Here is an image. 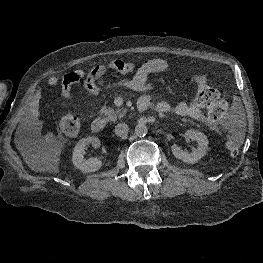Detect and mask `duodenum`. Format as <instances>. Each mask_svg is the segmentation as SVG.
<instances>
[{"mask_svg":"<svg viewBox=\"0 0 263 263\" xmlns=\"http://www.w3.org/2000/svg\"><path fill=\"white\" fill-rule=\"evenodd\" d=\"M148 108V106L145 103H138V111L143 112ZM105 128V122L101 118H95L91 122V130L94 133H101Z\"/></svg>","mask_w":263,"mask_h":263,"instance_id":"1","label":"duodenum"}]
</instances>
